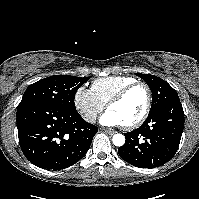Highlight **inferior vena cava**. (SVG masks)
Listing matches in <instances>:
<instances>
[{"instance_id": "obj_1", "label": "inferior vena cava", "mask_w": 199, "mask_h": 199, "mask_svg": "<svg viewBox=\"0 0 199 199\" xmlns=\"http://www.w3.org/2000/svg\"><path fill=\"white\" fill-rule=\"evenodd\" d=\"M83 118L86 122L95 123L97 119V114L94 112L85 113Z\"/></svg>"}]
</instances>
